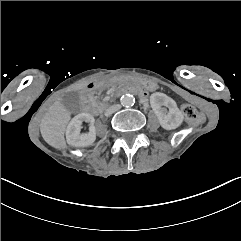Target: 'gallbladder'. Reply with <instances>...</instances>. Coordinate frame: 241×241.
<instances>
[{"instance_id": "1", "label": "gallbladder", "mask_w": 241, "mask_h": 241, "mask_svg": "<svg viewBox=\"0 0 241 241\" xmlns=\"http://www.w3.org/2000/svg\"><path fill=\"white\" fill-rule=\"evenodd\" d=\"M63 107L72 115H77L82 110V101L78 92L65 93L63 97Z\"/></svg>"}]
</instances>
